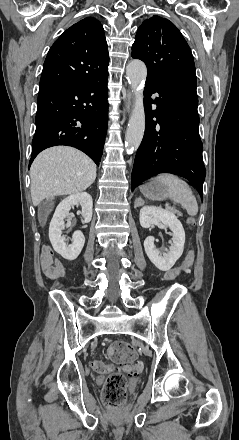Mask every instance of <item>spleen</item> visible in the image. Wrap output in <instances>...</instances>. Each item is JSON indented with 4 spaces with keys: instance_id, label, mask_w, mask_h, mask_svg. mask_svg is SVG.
<instances>
[{
    "instance_id": "obj_1",
    "label": "spleen",
    "mask_w": 239,
    "mask_h": 440,
    "mask_svg": "<svg viewBox=\"0 0 239 440\" xmlns=\"http://www.w3.org/2000/svg\"><path fill=\"white\" fill-rule=\"evenodd\" d=\"M157 180L165 184V186H168L170 198L173 202L181 204L182 208L187 210L189 216H196L198 204L195 196L192 194L191 188H189L186 182H183V180H180L177 176H172V174H159Z\"/></svg>"
}]
</instances>
